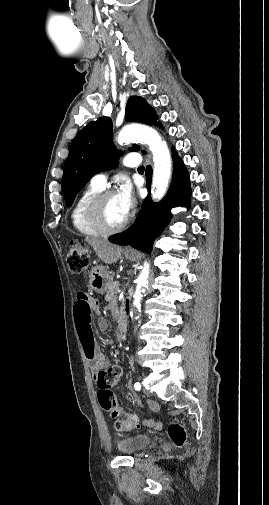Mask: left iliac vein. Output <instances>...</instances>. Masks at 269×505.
<instances>
[{
	"label": "left iliac vein",
	"instance_id": "left-iliac-vein-1",
	"mask_svg": "<svg viewBox=\"0 0 269 505\" xmlns=\"http://www.w3.org/2000/svg\"><path fill=\"white\" fill-rule=\"evenodd\" d=\"M148 405H149V408H150V411H151V412H154V413H155V412H158V411H159V408H160V407H159V404H158V403H156L155 401H153V400H152V401H150Z\"/></svg>",
	"mask_w": 269,
	"mask_h": 505
}]
</instances>
